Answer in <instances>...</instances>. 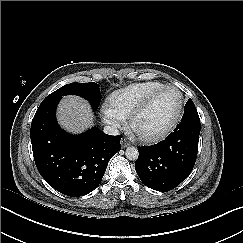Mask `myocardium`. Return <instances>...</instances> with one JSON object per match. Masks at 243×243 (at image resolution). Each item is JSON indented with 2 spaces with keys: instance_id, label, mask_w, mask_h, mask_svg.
Here are the masks:
<instances>
[{
  "instance_id": "1",
  "label": "myocardium",
  "mask_w": 243,
  "mask_h": 243,
  "mask_svg": "<svg viewBox=\"0 0 243 243\" xmlns=\"http://www.w3.org/2000/svg\"><path fill=\"white\" fill-rule=\"evenodd\" d=\"M167 90H175L179 93L180 95V101H179V107L178 111L174 117V119L170 122V124L160 133L154 134V135H146L140 133L137 128H136V120L138 116L148 107V105L161 93L167 91ZM183 108H184V93L181 91L180 88L174 86V85H167L164 86L157 91L153 92L151 95H149L145 100H143L129 115V129L130 131L137 136L141 141L146 142V143H151V142H157L163 138H165L168 134L171 133V131L176 127L178 124L179 120L181 119L182 113H183Z\"/></svg>"
}]
</instances>
